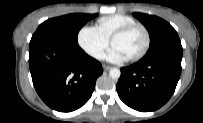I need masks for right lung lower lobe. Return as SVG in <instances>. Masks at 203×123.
Listing matches in <instances>:
<instances>
[{"label":"right lung lower lobe","instance_id":"98d812e1","mask_svg":"<svg viewBox=\"0 0 203 123\" xmlns=\"http://www.w3.org/2000/svg\"><path fill=\"white\" fill-rule=\"evenodd\" d=\"M29 66L40 98L60 112L82 107L91 97L96 79L103 72L101 63L79 46L42 40L30 42Z\"/></svg>","mask_w":203,"mask_h":123}]
</instances>
